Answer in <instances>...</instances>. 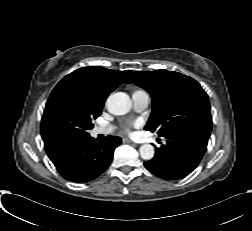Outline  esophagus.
Returning <instances> with one entry per match:
<instances>
[{
    "mask_svg": "<svg viewBox=\"0 0 252 231\" xmlns=\"http://www.w3.org/2000/svg\"><path fill=\"white\" fill-rule=\"evenodd\" d=\"M123 142H124V143H129V144L136 145V143H135V142H133L132 140L127 139V138L123 139Z\"/></svg>",
    "mask_w": 252,
    "mask_h": 231,
    "instance_id": "1",
    "label": "esophagus"
}]
</instances>
